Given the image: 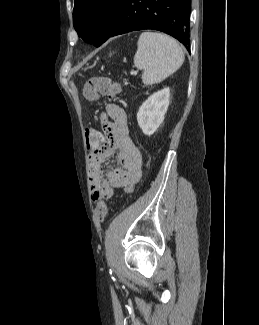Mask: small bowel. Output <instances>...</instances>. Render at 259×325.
<instances>
[{
    "label": "small bowel",
    "mask_w": 259,
    "mask_h": 325,
    "mask_svg": "<svg viewBox=\"0 0 259 325\" xmlns=\"http://www.w3.org/2000/svg\"><path fill=\"white\" fill-rule=\"evenodd\" d=\"M104 134L100 149H88L91 165L90 192L94 201L111 198L115 188L129 193L142 176V156L132 142L127 116L122 107L109 103L100 116ZM95 130V129H94ZM117 152L118 167L103 175L102 164Z\"/></svg>",
    "instance_id": "obj_1"
}]
</instances>
